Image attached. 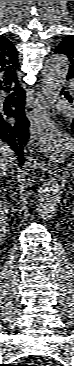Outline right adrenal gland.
<instances>
[{
  "mask_svg": "<svg viewBox=\"0 0 74 366\" xmlns=\"http://www.w3.org/2000/svg\"><path fill=\"white\" fill-rule=\"evenodd\" d=\"M13 172H14V171H12V172H11V174H12V175L14 174Z\"/></svg>",
  "mask_w": 74,
  "mask_h": 366,
  "instance_id": "2a0ac1e0",
  "label": "right adrenal gland"
}]
</instances>
